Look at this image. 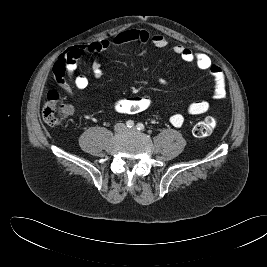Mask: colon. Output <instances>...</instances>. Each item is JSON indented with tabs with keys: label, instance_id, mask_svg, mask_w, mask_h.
Instances as JSON below:
<instances>
[{
	"label": "colon",
	"instance_id": "colon-1",
	"mask_svg": "<svg viewBox=\"0 0 267 267\" xmlns=\"http://www.w3.org/2000/svg\"><path fill=\"white\" fill-rule=\"evenodd\" d=\"M150 106L151 99L148 96L126 97L115 102L116 111L127 114L144 112ZM68 113L69 108L62 103L58 92L50 91L42 111L45 122L50 126H58ZM215 127L216 120L213 117H207L195 124L193 133L197 137H206L213 132Z\"/></svg>",
	"mask_w": 267,
	"mask_h": 267
}]
</instances>
